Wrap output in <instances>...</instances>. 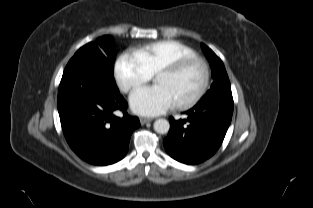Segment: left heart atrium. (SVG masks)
<instances>
[{
  "label": "left heart atrium",
  "instance_id": "1",
  "mask_svg": "<svg viewBox=\"0 0 313 208\" xmlns=\"http://www.w3.org/2000/svg\"><path fill=\"white\" fill-rule=\"evenodd\" d=\"M175 101L170 92L161 85L142 87L130 96L131 109L140 115L157 116L172 108Z\"/></svg>",
  "mask_w": 313,
  "mask_h": 208
}]
</instances>
